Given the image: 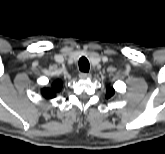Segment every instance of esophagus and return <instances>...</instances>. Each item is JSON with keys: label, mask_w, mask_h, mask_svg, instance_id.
I'll return each mask as SVG.
<instances>
[{"label": "esophagus", "mask_w": 165, "mask_h": 154, "mask_svg": "<svg viewBox=\"0 0 165 154\" xmlns=\"http://www.w3.org/2000/svg\"><path fill=\"white\" fill-rule=\"evenodd\" d=\"M79 77L82 78V79H87V78L91 77V74L86 73V72H80Z\"/></svg>", "instance_id": "1"}]
</instances>
